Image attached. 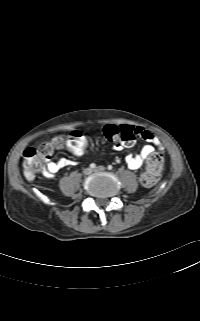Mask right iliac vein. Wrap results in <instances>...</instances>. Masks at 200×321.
<instances>
[{"label":"right iliac vein","instance_id":"right-iliac-vein-1","mask_svg":"<svg viewBox=\"0 0 200 321\" xmlns=\"http://www.w3.org/2000/svg\"><path fill=\"white\" fill-rule=\"evenodd\" d=\"M83 173H84L85 175H90V174L92 173V169H91V168H85L84 171H83Z\"/></svg>","mask_w":200,"mask_h":321}]
</instances>
